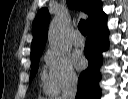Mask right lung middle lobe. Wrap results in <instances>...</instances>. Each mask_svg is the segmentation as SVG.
Listing matches in <instances>:
<instances>
[{
  "label": "right lung middle lobe",
  "mask_w": 128,
  "mask_h": 99,
  "mask_svg": "<svg viewBox=\"0 0 128 99\" xmlns=\"http://www.w3.org/2000/svg\"><path fill=\"white\" fill-rule=\"evenodd\" d=\"M39 57H40V55L31 58V74H30V81H29V83L32 82L33 77L35 76V74H36V72L38 70Z\"/></svg>",
  "instance_id": "right-lung-middle-lobe-1"
}]
</instances>
